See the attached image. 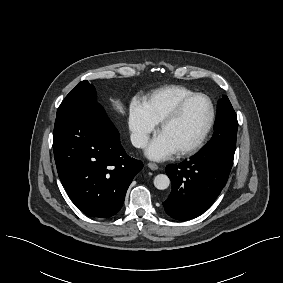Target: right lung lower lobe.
<instances>
[{
    "instance_id": "obj_1",
    "label": "right lung lower lobe",
    "mask_w": 283,
    "mask_h": 283,
    "mask_svg": "<svg viewBox=\"0 0 283 283\" xmlns=\"http://www.w3.org/2000/svg\"><path fill=\"white\" fill-rule=\"evenodd\" d=\"M53 151L59 178L73 203L92 217L108 218L121 208L143 163L128 156L99 103L56 117Z\"/></svg>"
}]
</instances>
